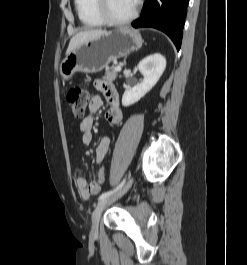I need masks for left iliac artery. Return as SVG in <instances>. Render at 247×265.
Wrapping results in <instances>:
<instances>
[{
    "label": "left iliac artery",
    "mask_w": 247,
    "mask_h": 265,
    "mask_svg": "<svg viewBox=\"0 0 247 265\" xmlns=\"http://www.w3.org/2000/svg\"><path fill=\"white\" fill-rule=\"evenodd\" d=\"M124 183H125V179L121 182V184L119 186L116 187V189L102 193L99 196V200H102V199H104V198L112 195L113 193H115L117 190H119L120 188H122V186L124 185Z\"/></svg>",
    "instance_id": "44dca946"
}]
</instances>
